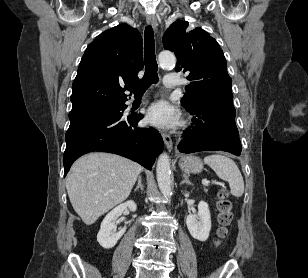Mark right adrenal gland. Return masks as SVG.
<instances>
[{
    "label": "right adrenal gland",
    "instance_id": "right-adrenal-gland-1",
    "mask_svg": "<svg viewBox=\"0 0 308 278\" xmlns=\"http://www.w3.org/2000/svg\"><path fill=\"white\" fill-rule=\"evenodd\" d=\"M141 189V190H143V185H142V176H138V183H137V186H136V188L134 189V191L136 192L138 189Z\"/></svg>",
    "mask_w": 308,
    "mask_h": 278
}]
</instances>
